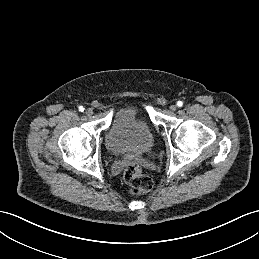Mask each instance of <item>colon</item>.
I'll return each instance as SVG.
<instances>
[{
	"instance_id": "obj_1",
	"label": "colon",
	"mask_w": 259,
	"mask_h": 259,
	"mask_svg": "<svg viewBox=\"0 0 259 259\" xmlns=\"http://www.w3.org/2000/svg\"><path fill=\"white\" fill-rule=\"evenodd\" d=\"M125 184L129 187L132 194L147 193L153 188V180L145 175L139 163H129L123 172Z\"/></svg>"
}]
</instances>
